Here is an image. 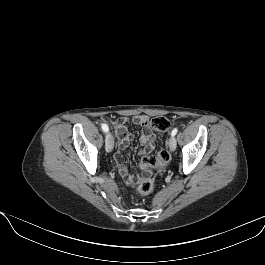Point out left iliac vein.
Masks as SVG:
<instances>
[{
	"instance_id": "4c4485c4",
	"label": "left iliac vein",
	"mask_w": 265,
	"mask_h": 265,
	"mask_svg": "<svg viewBox=\"0 0 265 265\" xmlns=\"http://www.w3.org/2000/svg\"><path fill=\"white\" fill-rule=\"evenodd\" d=\"M176 139L174 136H171L168 140V146L170 148L171 151H174L176 149Z\"/></svg>"
}]
</instances>
